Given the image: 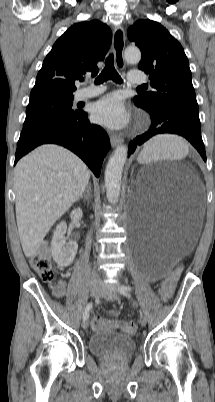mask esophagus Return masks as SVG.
Masks as SVG:
<instances>
[{
    "mask_svg": "<svg viewBox=\"0 0 215 402\" xmlns=\"http://www.w3.org/2000/svg\"><path fill=\"white\" fill-rule=\"evenodd\" d=\"M124 47H125V33L122 27H115L113 31V42L112 48L115 56V62L119 69H123L125 67L124 62ZM110 142L112 147H116L117 145L123 142V139L120 136L111 135Z\"/></svg>",
    "mask_w": 215,
    "mask_h": 402,
    "instance_id": "esophagus-1",
    "label": "esophagus"
}]
</instances>
